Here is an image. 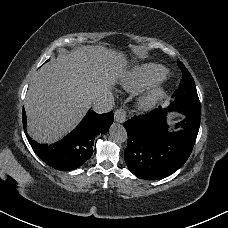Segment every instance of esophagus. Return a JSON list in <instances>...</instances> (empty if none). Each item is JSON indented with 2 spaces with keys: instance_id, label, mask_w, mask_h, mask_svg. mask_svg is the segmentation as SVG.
Masks as SVG:
<instances>
[{
  "instance_id": "esophagus-1",
  "label": "esophagus",
  "mask_w": 228,
  "mask_h": 228,
  "mask_svg": "<svg viewBox=\"0 0 228 228\" xmlns=\"http://www.w3.org/2000/svg\"><path fill=\"white\" fill-rule=\"evenodd\" d=\"M114 118L116 122L123 123L126 119V111L123 108L117 109Z\"/></svg>"
}]
</instances>
